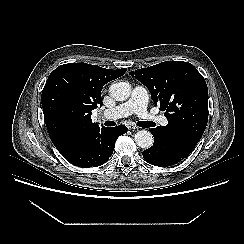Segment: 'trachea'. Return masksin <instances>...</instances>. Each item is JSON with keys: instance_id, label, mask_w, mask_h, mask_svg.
I'll return each mask as SVG.
<instances>
[{"instance_id": "obj_1", "label": "trachea", "mask_w": 244, "mask_h": 244, "mask_svg": "<svg viewBox=\"0 0 244 244\" xmlns=\"http://www.w3.org/2000/svg\"><path fill=\"white\" fill-rule=\"evenodd\" d=\"M104 124L106 126H115L116 125V123L114 121H106ZM137 125L139 127L149 128V127H154L155 126V123H153V122H146V121H139V122H137Z\"/></svg>"}]
</instances>
